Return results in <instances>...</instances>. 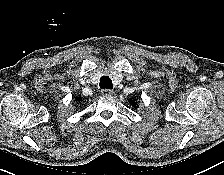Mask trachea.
Masks as SVG:
<instances>
[{
	"label": "trachea",
	"instance_id": "3493384b",
	"mask_svg": "<svg viewBox=\"0 0 224 175\" xmlns=\"http://www.w3.org/2000/svg\"><path fill=\"white\" fill-rule=\"evenodd\" d=\"M112 80L108 76H103L100 79V87L103 89H112Z\"/></svg>",
	"mask_w": 224,
	"mask_h": 175
}]
</instances>
